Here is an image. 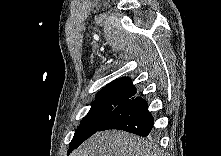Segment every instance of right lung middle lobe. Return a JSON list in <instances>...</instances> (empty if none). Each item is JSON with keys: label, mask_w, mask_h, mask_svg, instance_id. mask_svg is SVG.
Here are the masks:
<instances>
[{"label": "right lung middle lobe", "mask_w": 221, "mask_h": 156, "mask_svg": "<svg viewBox=\"0 0 221 156\" xmlns=\"http://www.w3.org/2000/svg\"><path fill=\"white\" fill-rule=\"evenodd\" d=\"M124 101L119 99L97 98L88 114L82 119L69 145V152L99 130L111 112Z\"/></svg>", "instance_id": "1"}]
</instances>
